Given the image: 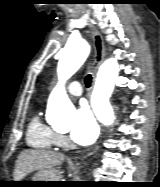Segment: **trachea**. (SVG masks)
<instances>
[{"label":"trachea","mask_w":160,"mask_h":187,"mask_svg":"<svg viewBox=\"0 0 160 187\" xmlns=\"http://www.w3.org/2000/svg\"><path fill=\"white\" fill-rule=\"evenodd\" d=\"M91 83H92V76L90 74H88L86 77H85V85L86 87H90L91 86Z\"/></svg>","instance_id":"3493384b"}]
</instances>
